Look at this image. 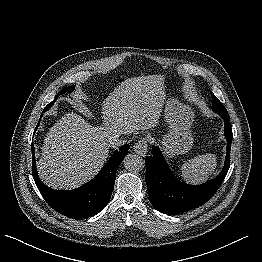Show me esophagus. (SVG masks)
Instances as JSON below:
<instances>
[{
  "label": "esophagus",
  "instance_id": "obj_1",
  "mask_svg": "<svg viewBox=\"0 0 262 262\" xmlns=\"http://www.w3.org/2000/svg\"><path fill=\"white\" fill-rule=\"evenodd\" d=\"M148 150V141L145 138L140 139L135 145H134V151L141 155L145 156Z\"/></svg>",
  "mask_w": 262,
  "mask_h": 262
}]
</instances>
